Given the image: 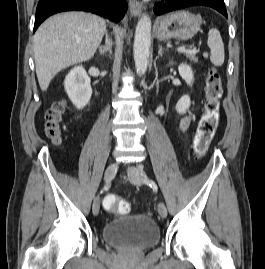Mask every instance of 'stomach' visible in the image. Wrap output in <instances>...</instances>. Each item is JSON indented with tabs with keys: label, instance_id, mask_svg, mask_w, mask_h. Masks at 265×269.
I'll return each instance as SVG.
<instances>
[{
	"label": "stomach",
	"instance_id": "obj_1",
	"mask_svg": "<svg viewBox=\"0 0 265 269\" xmlns=\"http://www.w3.org/2000/svg\"><path fill=\"white\" fill-rule=\"evenodd\" d=\"M202 20L189 11H177L160 17L156 21V35L159 40H187L200 30Z\"/></svg>",
	"mask_w": 265,
	"mask_h": 269
}]
</instances>
